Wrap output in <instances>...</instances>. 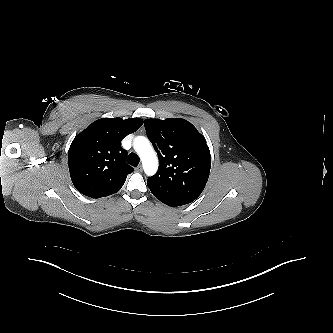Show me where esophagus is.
<instances>
[{
	"label": "esophagus",
	"instance_id": "esophagus-1",
	"mask_svg": "<svg viewBox=\"0 0 333 333\" xmlns=\"http://www.w3.org/2000/svg\"><path fill=\"white\" fill-rule=\"evenodd\" d=\"M135 171H136V172H142V166H141V165L137 166V167L135 168Z\"/></svg>",
	"mask_w": 333,
	"mask_h": 333
}]
</instances>
